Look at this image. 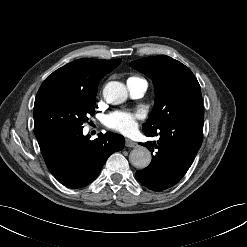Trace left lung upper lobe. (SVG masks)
Here are the masks:
<instances>
[{
  "label": "left lung upper lobe",
  "instance_id": "5c2ea615",
  "mask_svg": "<svg viewBox=\"0 0 247 247\" xmlns=\"http://www.w3.org/2000/svg\"><path fill=\"white\" fill-rule=\"evenodd\" d=\"M130 66L149 76L155 86V106L143 132L179 119L203 121L200 85L189 68L166 55L142 58Z\"/></svg>",
  "mask_w": 247,
  "mask_h": 247
}]
</instances>
